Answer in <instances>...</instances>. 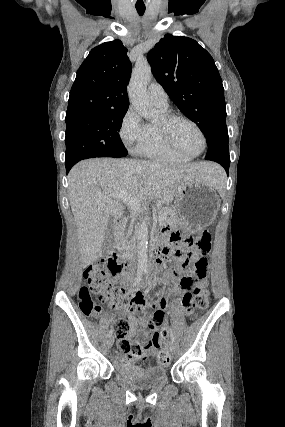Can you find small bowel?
Instances as JSON below:
<instances>
[{
	"mask_svg": "<svg viewBox=\"0 0 285 427\" xmlns=\"http://www.w3.org/2000/svg\"><path fill=\"white\" fill-rule=\"evenodd\" d=\"M171 242L175 243V239L171 238ZM192 261L193 260H204V257L200 254L198 255H194L191 257ZM182 267H184L185 269H187V273L189 274H196L197 271L194 267H185V261H183L181 263ZM130 293L136 298V303H137V307L138 310L131 313L129 316L130 319V327H131V331H130V336L131 337H137L139 335L140 332V327H146L149 329H154L158 326H161L163 324L164 321V316L165 312L168 308V301L167 298L165 297H161L159 298L156 302L151 303V304H146V295L140 292H136L134 289L130 290ZM173 293L177 296L178 299V306H176L174 308V311L177 314H186V315H190L193 312L192 308H187L183 305L182 299L185 296V291L182 287L176 286L173 289ZM144 309H146L150 314H151V319L149 320L146 317V314L144 312ZM161 314V316H160ZM149 347L143 352L141 353L139 356L134 357L131 361H128L126 358H121L120 359V364L121 365H127L130 362H137V361H144L147 358H149L151 355L154 354L155 351V347L154 345L151 343L148 344Z\"/></svg>",
	"mask_w": 285,
	"mask_h": 427,
	"instance_id": "c3829d8e",
	"label": "small bowel"
}]
</instances>
